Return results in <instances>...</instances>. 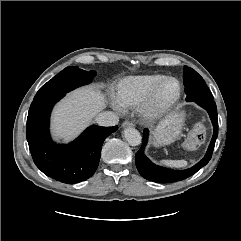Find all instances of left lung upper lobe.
Listing matches in <instances>:
<instances>
[{
  "label": "left lung upper lobe",
  "instance_id": "1",
  "mask_svg": "<svg viewBox=\"0 0 241 241\" xmlns=\"http://www.w3.org/2000/svg\"><path fill=\"white\" fill-rule=\"evenodd\" d=\"M183 79L185 93L187 95L186 101H194L198 98L213 99V96L203 78L195 70L185 66Z\"/></svg>",
  "mask_w": 241,
  "mask_h": 241
}]
</instances>
